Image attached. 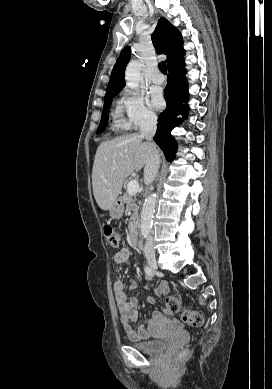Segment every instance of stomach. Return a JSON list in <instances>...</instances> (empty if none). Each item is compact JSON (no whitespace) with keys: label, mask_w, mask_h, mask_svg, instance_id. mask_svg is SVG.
I'll use <instances>...</instances> for the list:
<instances>
[{"label":"stomach","mask_w":272,"mask_h":389,"mask_svg":"<svg viewBox=\"0 0 272 389\" xmlns=\"http://www.w3.org/2000/svg\"><path fill=\"white\" fill-rule=\"evenodd\" d=\"M110 216L113 219H119L123 216L124 213V201L122 198L116 199L112 207L109 209Z\"/></svg>","instance_id":"0dacf381"}]
</instances>
